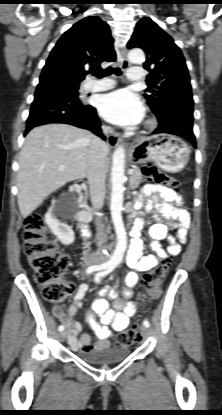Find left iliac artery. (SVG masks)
I'll use <instances>...</instances> for the list:
<instances>
[{
    "label": "left iliac artery",
    "mask_w": 222,
    "mask_h": 415,
    "mask_svg": "<svg viewBox=\"0 0 222 415\" xmlns=\"http://www.w3.org/2000/svg\"><path fill=\"white\" fill-rule=\"evenodd\" d=\"M114 269V266L113 265H108L106 268H105V270L104 271H102V272H100V273H97L96 274V276H95V281L96 282H99L100 281V279H101V277H104V276H106L107 274H109L112 270ZM143 324H144V326H146V327H149L150 326V323H149V321L148 320H144L143 321Z\"/></svg>",
    "instance_id": "1"
}]
</instances>
